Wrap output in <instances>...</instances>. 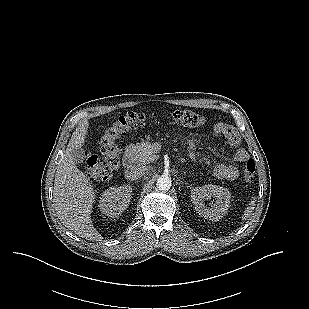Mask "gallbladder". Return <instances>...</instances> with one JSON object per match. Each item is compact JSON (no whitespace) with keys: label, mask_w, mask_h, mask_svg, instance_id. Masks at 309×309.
Masks as SVG:
<instances>
[{"label":"gallbladder","mask_w":309,"mask_h":309,"mask_svg":"<svg viewBox=\"0 0 309 309\" xmlns=\"http://www.w3.org/2000/svg\"><path fill=\"white\" fill-rule=\"evenodd\" d=\"M71 154L75 163H82L85 160V152L82 148L73 149Z\"/></svg>","instance_id":"gallbladder-1"}]
</instances>
